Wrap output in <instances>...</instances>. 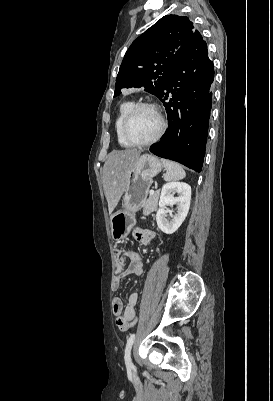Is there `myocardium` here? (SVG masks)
Returning <instances> with one entry per match:
<instances>
[{"label": "myocardium", "instance_id": "myocardium-1", "mask_svg": "<svg viewBox=\"0 0 273 401\" xmlns=\"http://www.w3.org/2000/svg\"><path fill=\"white\" fill-rule=\"evenodd\" d=\"M140 109H149L151 111H153L154 113H156L160 119L161 122V127L159 132L151 139L146 140V141H136L131 139L128 134H127V127L132 119V117L135 115V113L137 111H139ZM167 130V121L164 117V115L162 114L161 110L154 104L152 103H145V102H141V103H137L135 104L132 109L128 112V114L126 115V117L124 118L122 124H121V136L122 138L131 146L134 147H145V146H149L151 144L156 143L157 141H159L164 134L166 133Z\"/></svg>", "mask_w": 273, "mask_h": 401}]
</instances>
